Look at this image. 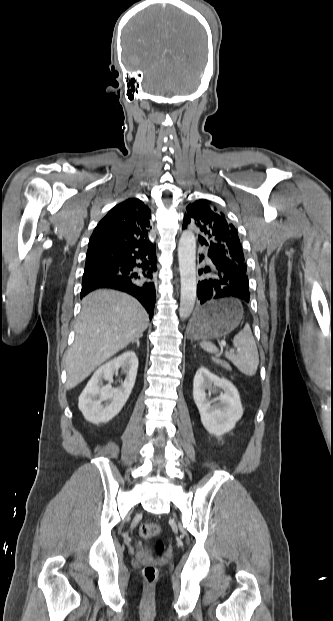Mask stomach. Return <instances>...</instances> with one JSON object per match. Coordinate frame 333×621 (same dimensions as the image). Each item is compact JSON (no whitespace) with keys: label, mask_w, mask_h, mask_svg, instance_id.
<instances>
[{"label":"stomach","mask_w":333,"mask_h":621,"mask_svg":"<svg viewBox=\"0 0 333 621\" xmlns=\"http://www.w3.org/2000/svg\"><path fill=\"white\" fill-rule=\"evenodd\" d=\"M243 316L240 303L235 299H223L208 303L195 314L188 334L192 340L212 339L234 330Z\"/></svg>","instance_id":"obj_1"}]
</instances>
